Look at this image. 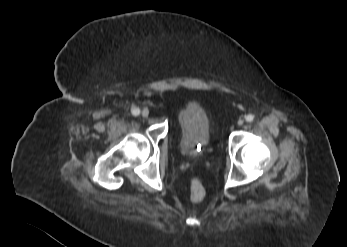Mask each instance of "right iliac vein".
<instances>
[{
    "mask_svg": "<svg viewBox=\"0 0 347 247\" xmlns=\"http://www.w3.org/2000/svg\"><path fill=\"white\" fill-rule=\"evenodd\" d=\"M141 115H142L143 117H148V115H149V110H148V109H143L142 112H141Z\"/></svg>",
    "mask_w": 347,
    "mask_h": 247,
    "instance_id": "1",
    "label": "right iliac vein"
}]
</instances>
